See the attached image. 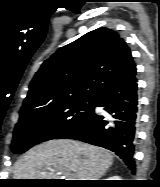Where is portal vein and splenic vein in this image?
<instances>
[{"instance_id":"portal-vein-and-splenic-vein-1","label":"portal vein and splenic vein","mask_w":160,"mask_h":187,"mask_svg":"<svg viewBox=\"0 0 160 187\" xmlns=\"http://www.w3.org/2000/svg\"><path fill=\"white\" fill-rule=\"evenodd\" d=\"M65 176L68 178V180H76V176L74 173H68V174H65Z\"/></svg>"}]
</instances>
